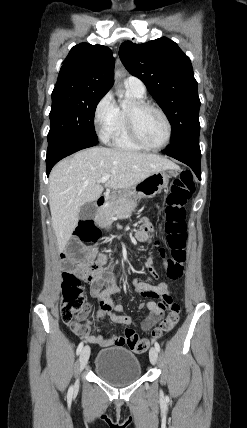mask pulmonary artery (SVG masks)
<instances>
[{"mask_svg":"<svg viewBox=\"0 0 247 428\" xmlns=\"http://www.w3.org/2000/svg\"><path fill=\"white\" fill-rule=\"evenodd\" d=\"M124 85L127 89L133 90L139 94L145 95L146 93L144 83L135 76H128L124 81Z\"/></svg>","mask_w":247,"mask_h":428,"instance_id":"pulmonary-artery-1","label":"pulmonary artery"}]
</instances>
